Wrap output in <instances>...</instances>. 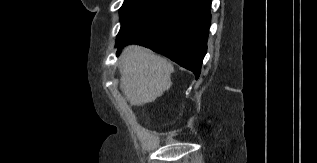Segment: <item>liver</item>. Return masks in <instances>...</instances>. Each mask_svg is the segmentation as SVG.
<instances>
[{
    "label": "liver",
    "mask_w": 317,
    "mask_h": 163,
    "mask_svg": "<svg viewBox=\"0 0 317 163\" xmlns=\"http://www.w3.org/2000/svg\"><path fill=\"white\" fill-rule=\"evenodd\" d=\"M120 89L131 105L153 102L169 90L173 65L137 46L126 47L120 57Z\"/></svg>",
    "instance_id": "6515ba94"
}]
</instances>
